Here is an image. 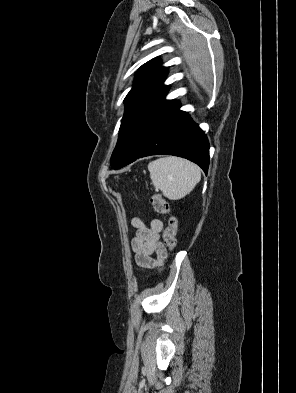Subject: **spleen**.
Listing matches in <instances>:
<instances>
[{
	"mask_svg": "<svg viewBox=\"0 0 296 393\" xmlns=\"http://www.w3.org/2000/svg\"><path fill=\"white\" fill-rule=\"evenodd\" d=\"M152 184L170 200L189 194L201 179L200 168L179 157H163L149 163Z\"/></svg>",
	"mask_w": 296,
	"mask_h": 393,
	"instance_id": "obj_1",
	"label": "spleen"
}]
</instances>
